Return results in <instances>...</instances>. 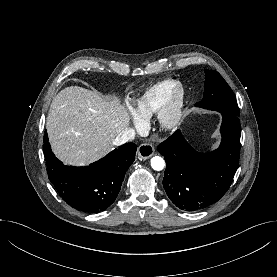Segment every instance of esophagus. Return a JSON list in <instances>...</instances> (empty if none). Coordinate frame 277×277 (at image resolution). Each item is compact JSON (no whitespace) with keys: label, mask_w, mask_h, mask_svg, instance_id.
<instances>
[{"label":"esophagus","mask_w":277,"mask_h":277,"mask_svg":"<svg viewBox=\"0 0 277 277\" xmlns=\"http://www.w3.org/2000/svg\"><path fill=\"white\" fill-rule=\"evenodd\" d=\"M154 154V146L150 143H143L138 147L137 158L146 160Z\"/></svg>","instance_id":"obj_1"}]
</instances>
